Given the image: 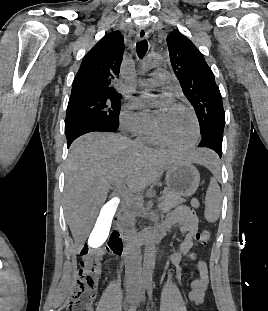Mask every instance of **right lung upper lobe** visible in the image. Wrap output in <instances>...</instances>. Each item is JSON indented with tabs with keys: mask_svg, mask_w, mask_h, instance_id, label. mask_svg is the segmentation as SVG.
<instances>
[{
	"mask_svg": "<svg viewBox=\"0 0 268 311\" xmlns=\"http://www.w3.org/2000/svg\"><path fill=\"white\" fill-rule=\"evenodd\" d=\"M123 45V36L119 31L105 35L85 55L74 78L72 91L119 94L114 88V81L119 78Z\"/></svg>",
	"mask_w": 268,
	"mask_h": 311,
	"instance_id": "cb5924a9",
	"label": "right lung upper lobe"
}]
</instances>
